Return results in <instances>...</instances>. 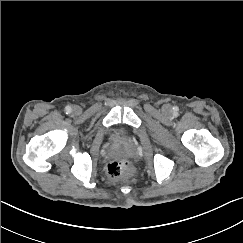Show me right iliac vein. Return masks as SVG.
Here are the masks:
<instances>
[{"instance_id":"right-iliac-vein-1","label":"right iliac vein","mask_w":243,"mask_h":243,"mask_svg":"<svg viewBox=\"0 0 243 243\" xmlns=\"http://www.w3.org/2000/svg\"><path fill=\"white\" fill-rule=\"evenodd\" d=\"M72 111L74 114L79 115L81 113V107L78 105L73 106Z\"/></svg>"}]
</instances>
